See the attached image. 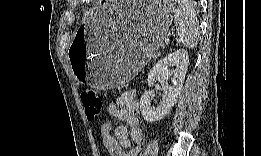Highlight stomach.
<instances>
[{"label": "stomach", "mask_w": 261, "mask_h": 156, "mask_svg": "<svg viewBox=\"0 0 261 156\" xmlns=\"http://www.w3.org/2000/svg\"><path fill=\"white\" fill-rule=\"evenodd\" d=\"M171 15L166 2L96 5L76 30L69 50L76 80L107 89L132 79L156 54Z\"/></svg>", "instance_id": "stomach-1"}]
</instances>
